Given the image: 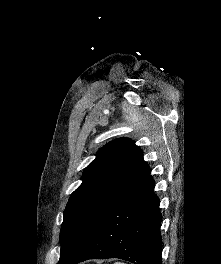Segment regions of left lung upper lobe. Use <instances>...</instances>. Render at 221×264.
I'll use <instances>...</instances> for the list:
<instances>
[{
    "label": "left lung upper lobe",
    "instance_id": "1",
    "mask_svg": "<svg viewBox=\"0 0 221 264\" xmlns=\"http://www.w3.org/2000/svg\"><path fill=\"white\" fill-rule=\"evenodd\" d=\"M149 174L142 150L131 139L118 138L102 147L85 168L83 182L65 208L60 258L67 256Z\"/></svg>",
    "mask_w": 221,
    "mask_h": 264
}]
</instances>
